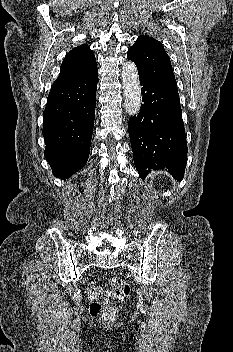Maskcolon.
I'll list each match as a JSON object with an SVG mask.
<instances>
[{"instance_id":"1","label":"colon","mask_w":233,"mask_h":352,"mask_svg":"<svg viewBox=\"0 0 233 352\" xmlns=\"http://www.w3.org/2000/svg\"><path fill=\"white\" fill-rule=\"evenodd\" d=\"M87 292L91 300L89 307L91 315L112 321L118 315L113 302L128 297L131 294V287L122 279H113L108 288H103L95 280H91Z\"/></svg>"}]
</instances>
